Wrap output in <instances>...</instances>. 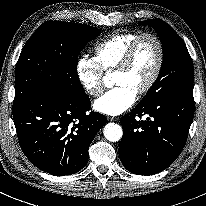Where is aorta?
I'll use <instances>...</instances> for the list:
<instances>
[{
    "instance_id": "762f6f07",
    "label": "aorta",
    "mask_w": 206,
    "mask_h": 206,
    "mask_svg": "<svg viewBox=\"0 0 206 206\" xmlns=\"http://www.w3.org/2000/svg\"><path fill=\"white\" fill-rule=\"evenodd\" d=\"M103 133L108 141L117 142L122 138L123 130L119 124L108 123L105 125Z\"/></svg>"
}]
</instances>
